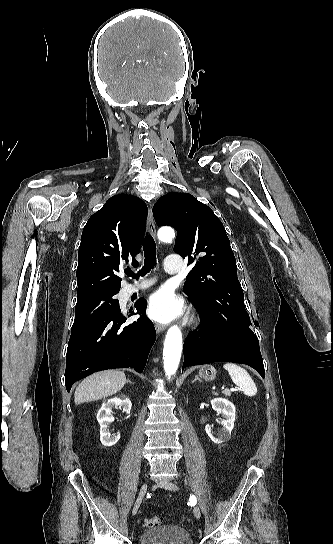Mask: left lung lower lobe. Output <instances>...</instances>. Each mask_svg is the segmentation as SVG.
I'll use <instances>...</instances> for the list:
<instances>
[{"mask_svg":"<svg viewBox=\"0 0 333 544\" xmlns=\"http://www.w3.org/2000/svg\"><path fill=\"white\" fill-rule=\"evenodd\" d=\"M203 313V325L184 342V364L236 362L253 367L265 377L258 339L248 328L236 322L215 319Z\"/></svg>","mask_w":333,"mask_h":544,"instance_id":"left-lung-lower-lobe-1","label":"left lung lower lobe"}]
</instances>
